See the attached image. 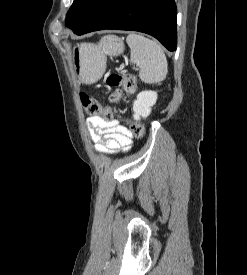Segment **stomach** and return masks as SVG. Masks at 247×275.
<instances>
[{
	"mask_svg": "<svg viewBox=\"0 0 247 275\" xmlns=\"http://www.w3.org/2000/svg\"><path fill=\"white\" fill-rule=\"evenodd\" d=\"M110 43L107 49L99 45L85 44L79 47L78 57L73 56L74 70L82 83H93L100 79L106 68V56L118 55L123 52L124 44L116 36H109Z\"/></svg>",
	"mask_w": 247,
	"mask_h": 275,
	"instance_id": "stomach-1",
	"label": "stomach"
}]
</instances>
